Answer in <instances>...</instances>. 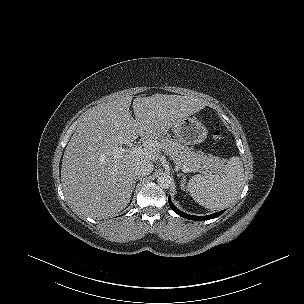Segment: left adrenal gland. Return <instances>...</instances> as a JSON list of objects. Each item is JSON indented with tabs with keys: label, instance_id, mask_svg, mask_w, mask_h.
Masks as SVG:
<instances>
[{
	"label": "left adrenal gland",
	"instance_id": "1",
	"mask_svg": "<svg viewBox=\"0 0 304 304\" xmlns=\"http://www.w3.org/2000/svg\"><path fill=\"white\" fill-rule=\"evenodd\" d=\"M178 176L182 177V181H181V189L184 190L185 189V184H186V176L183 173H179Z\"/></svg>",
	"mask_w": 304,
	"mask_h": 304
}]
</instances>
